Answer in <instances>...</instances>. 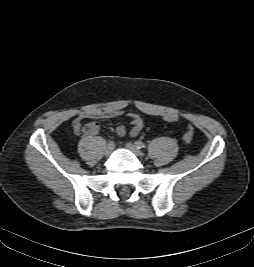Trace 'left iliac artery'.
Returning <instances> with one entry per match:
<instances>
[{"label": "left iliac artery", "instance_id": "obj_1", "mask_svg": "<svg viewBox=\"0 0 254 267\" xmlns=\"http://www.w3.org/2000/svg\"><path fill=\"white\" fill-rule=\"evenodd\" d=\"M135 145H136V147H137L138 149L145 148V146H146V145H145L142 141H140V140L136 141V142H135Z\"/></svg>", "mask_w": 254, "mask_h": 267}]
</instances>
